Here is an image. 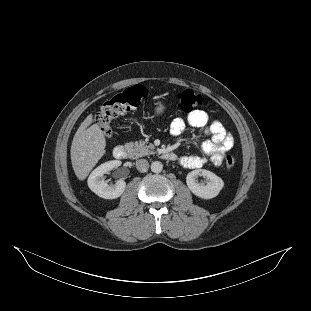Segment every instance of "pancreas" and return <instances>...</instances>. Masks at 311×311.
I'll use <instances>...</instances> for the list:
<instances>
[{"label":"pancreas","mask_w":311,"mask_h":311,"mask_svg":"<svg viewBox=\"0 0 311 311\" xmlns=\"http://www.w3.org/2000/svg\"><path fill=\"white\" fill-rule=\"evenodd\" d=\"M125 148L135 159L156 153V146L154 144L146 145V143L142 141L127 143Z\"/></svg>","instance_id":"cf45deb5"}]
</instances>
